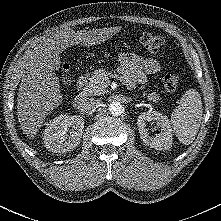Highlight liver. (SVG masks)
I'll list each match as a JSON object with an SVG mask.
<instances>
[{
    "label": "liver",
    "mask_w": 221,
    "mask_h": 221,
    "mask_svg": "<svg viewBox=\"0 0 221 221\" xmlns=\"http://www.w3.org/2000/svg\"><path fill=\"white\" fill-rule=\"evenodd\" d=\"M120 27L96 30L71 28L56 31L29 51L23 61L24 73L18 91L17 115L22 131L34 138L45 117L62 102L59 78L60 54L67 48L81 44L92 46L106 41L120 31Z\"/></svg>",
    "instance_id": "obj_1"
}]
</instances>
